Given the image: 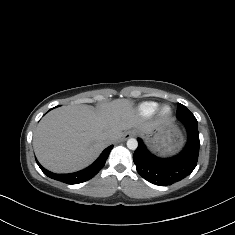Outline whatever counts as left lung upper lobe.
I'll return each instance as SVG.
<instances>
[{
	"instance_id": "5c2ea615",
	"label": "left lung upper lobe",
	"mask_w": 235,
	"mask_h": 235,
	"mask_svg": "<svg viewBox=\"0 0 235 235\" xmlns=\"http://www.w3.org/2000/svg\"><path fill=\"white\" fill-rule=\"evenodd\" d=\"M177 118H195V116L184 105L178 103Z\"/></svg>"
}]
</instances>
